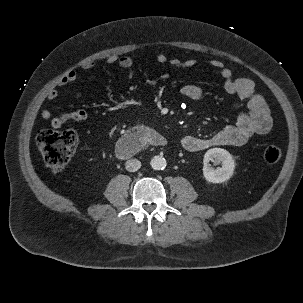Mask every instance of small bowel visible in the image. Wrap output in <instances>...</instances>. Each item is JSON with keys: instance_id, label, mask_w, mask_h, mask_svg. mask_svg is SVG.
Segmentation results:
<instances>
[{"instance_id": "1", "label": "small bowel", "mask_w": 303, "mask_h": 303, "mask_svg": "<svg viewBox=\"0 0 303 303\" xmlns=\"http://www.w3.org/2000/svg\"><path fill=\"white\" fill-rule=\"evenodd\" d=\"M155 61L160 65H170L177 69H190L196 65L195 59L182 60L177 57H170L165 53H159ZM106 62L110 65H117L128 73V77L134 75V63L130 57L111 55ZM210 66L216 69L224 80V90L229 96H236L245 102V108L237 114L233 124L227 125L218 132L208 137L186 135L181 138V146L189 152H199L214 146H240L245 144L255 135H265L272 128V119L265 99L255 92L254 83L248 78H234L232 71L219 60L210 61ZM84 70H91L95 67V62H86ZM77 79V72L69 70L57 85L64 87ZM180 92L190 100H200L204 96L203 88L194 83H189L181 87ZM77 93V97H80ZM59 97V91L52 88L47 93L49 100ZM42 117L50 120L51 126L55 129L61 128L69 122H81L87 119L88 113L84 109H77L72 112L64 113L52 117L48 109L42 111Z\"/></svg>"}]
</instances>
